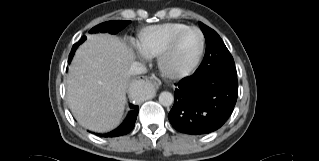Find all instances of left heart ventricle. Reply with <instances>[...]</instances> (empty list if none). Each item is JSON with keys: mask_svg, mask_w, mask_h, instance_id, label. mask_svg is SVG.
Instances as JSON below:
<instances>
[{"mask_svg": "<svg viewBox=\"0 0 319 161\" xmlns=\"http://www.w3.org/2000/svg\"><path fill=\"white\" fill-rule=\"evenodd\" d=\"M200 47V35L195 30L184 33L177 41L170 56V65L174 68H184L192 63Z\"/></svg>", "mask_w": 319, "mask_h": 161, "instance_id": "b2bd125f", "label": "left heart ventricle"}]
</instances>
